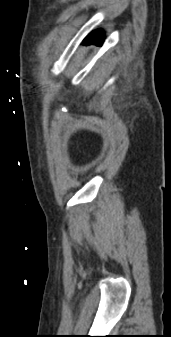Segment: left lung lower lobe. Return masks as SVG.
<instances>
[{"label":"left lung lower lobe","mask_w":171,"mask_h":337,"mask_svg":"<svg viewBox=\"0 0 171 337\" xmlns=\"http://www.w3.org/2000/svg\"><path fill=\"white\" fill-rule=\"evenodd\" d=\"M105 35L101 30L91 32L84 40L83 44H95V45H102L104 41Z\"/></svg>","instance_id":"0a47b994"}]
</instances>
